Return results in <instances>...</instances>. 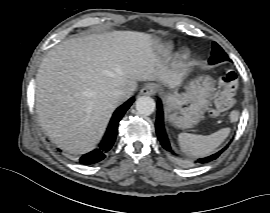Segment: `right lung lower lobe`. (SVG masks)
<instances>
[{
    "mask_svg": "<svg viewBox=\"0 0 270 213\" xmlns=\"http://www.w3.org/2000/svg\"><path fill=\"white\" fill-rule=\"evenodd\" d=\"M133 102L134 99L130 98L115 111L99 148L86 155H83L79 160L81 164H94L106 157V153L111 149L115 142L119 121Z\"/></svg>",
    "mask_w": 270,
    "mask_h": 213,
    "instance_id": "98d812e1",
    "label": "right lung lower lobe"
}]
</instances>
